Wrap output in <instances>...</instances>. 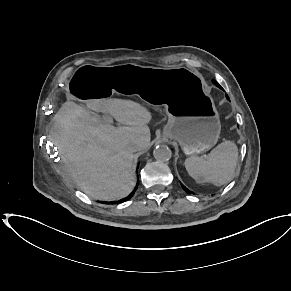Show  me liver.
<instances>
[{"mask_svg":"<svg viewBox=\"0 0 291 291\" xmlns=\"http://www.w3.org/2000/svg\"><path fill=\"white\" fill-rule=\"evenodd\" d=\"M85 104L94 112L111 115L123 126L114 127L73 101L65 102L54 117L53 143L66 174L88 196L116 200L134 188L133 151L148 147L151 113L131 100L100 98Z\"/></svg>","mask_w":291,"mask_h":291,"instance_id":"liver-1","label":"liver"}]
</instances>
